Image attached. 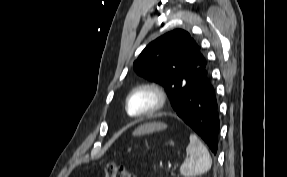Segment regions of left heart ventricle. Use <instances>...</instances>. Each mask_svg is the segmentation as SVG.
<instances>
[{"instance_id":"left-heart-ventricle-1","label":"left heart ventricle","mask_w":287,"mask_h":177,"mask_svg":"<svg viewBox=\"0 0 287 177\" xmlns=\"http://www.w3.org/2000/svg\"><path fill=\"white\" fill-rule=\"evenodd\" d=\"M155 102L154 96L147 92L141 91L134 94L130 100L129 111L131 114H139L148 110Z\"/></svg>"}]
</instances>
